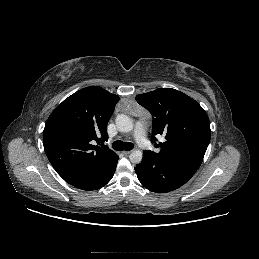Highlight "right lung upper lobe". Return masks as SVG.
Instances as JSON below:
<instances>
[{
    "mask_svg": "<svg viewBox=\"0 0 259 259\" xmlns=\"http://www.w3.org/2000/svg\"><path fill=\"white\" fill-rule=\"evenodd\" d=\"M117 95L98 86L81 89L51 113L43 132L45 153L56 172L76 184L109 168L118 156L104 144Z\"/></svg>",
    "mask_w": 259,
    "mask_h": 259,
    "instance_id": "obj_1",
    "label": "right lung upper lobe"
}]
</instances>
